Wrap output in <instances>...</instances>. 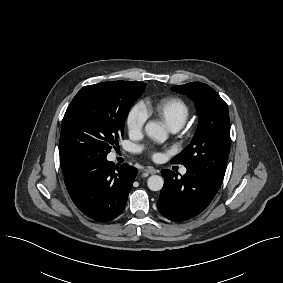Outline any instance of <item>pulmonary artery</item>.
Segmentation results:
<instances>
[{
    "label": "pulmonary artery",
    "mask_w": 283,
    "mask_h": 283,
    "mask_svg": "<svg viewBox=\"0 0 283 283\" xmlns=\"http://www.w3.org/2000/svg\"><path fill=\"white\" fill-rule=\"evenodd\" d=\"M177 130H178V129H176V128L171 129L172 132H175V131H177ZM181 173H182V174H185V173H186V168H182V169H181Z\"/></svg>",
    "instance_id": "1"
}]
</instances>
